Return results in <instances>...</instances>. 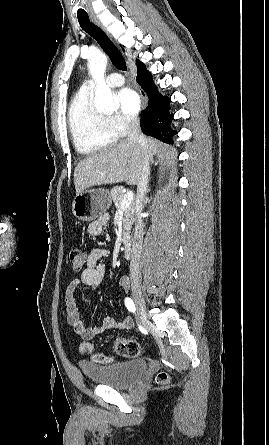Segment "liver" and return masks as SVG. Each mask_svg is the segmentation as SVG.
Wrapping results in <instances>:
<instances>
[{"mask_svg":"<svg viewBox=\"0 0 269 445\" xmlns=\"http://www.w3.org/2000/svg\"><path fill=\"white\" fill-rule=\"evenodd\" d=\"M148 154L155 155L160 144L153 138L147 139ZM143 153L136 142L128 139L111 144L80 161L74 171L76 195L92 186L114 184L125 181L138 184L141 177Z\"/></svg>","mask_w":269,"mask_h":445,"instance_id":"liver-1","label":"liver"}]
</instances>
